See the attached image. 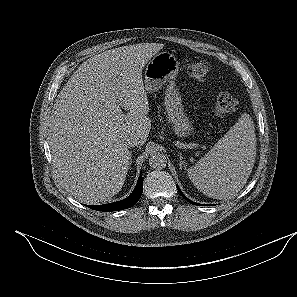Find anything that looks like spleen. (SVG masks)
<instances>
[{
    "mask_svg": "<svg viewBox=\"0 0 297 297\" xmlns=\"http://www.w3.org/2000/svg\"><path fill=\"white\" fill-rule=\"evenodd\" d=\"M255 158V127L250 115L244 113L187 173L205 195L220 200L230 199L246 184Z\"/></svg>",
    "mask_w": 297,
    "mask_h": 297,
    "instance_id": "spleen-1",
    "label": "spleen"
}]
</instances>
